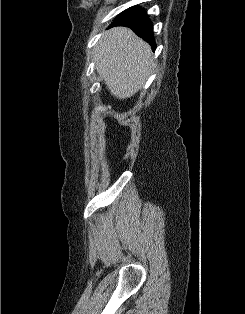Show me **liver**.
Listing matches in <instances>:
<instances>
[{
    "instance_id": "6515ba94",
    "label": "liver",
    "mask_w": 245,
    "mask_h": 314,
    "mask_svg": "<svg viewBox=\"0 0 245 314\" xmlns=\"http://www.w3.org/2000/svg\"><path fill=\"white\" fill-rule=\"evenodd\" d=\"M96 71L111 95L130 98L145 84L153 67L148 43L126 27L104 33L94 49Z\"/></svg>"
}]
</instances>
